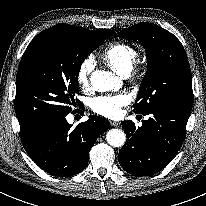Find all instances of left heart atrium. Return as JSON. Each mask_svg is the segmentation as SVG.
Wrapping results in <instances>:
<instances>
[{
  "instance_id": "obj_1",
  "label": "left heart atrium",
  "mask_w": 206,
  "mask_h": 206,
  "mask_svg": "<svg viewBox=\"0 0 206 206\" xmlns=\"http://www.w3.org/2000/svg\"><path fill=\"white\" fill-rule=\"evenodd\" d=\"M131 101V96L127 93H120L109 96H99L92 100V110L107 118H118L122 115V109Z\"/></svg>"
}]
</instances>
